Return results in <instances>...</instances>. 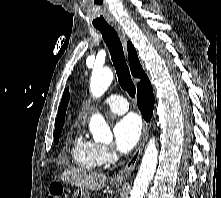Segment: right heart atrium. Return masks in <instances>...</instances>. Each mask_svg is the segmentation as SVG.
<instances>
[{
	"mask_svg": "<svg viewBox=\"0 0 221 198\" xmlns=\"http://www.w3.org/2000/svg\"><path fill=\"white\" fill-rule=\"evenodd\" d=\"M98 151L102 164H111L117 159L115 150L109 145H98Z\"/></svg>",
	"mask_w": 221,
	"mask_h": 198,
	"instance_id": "right-heart-atrium-1",
	"label": "right heart atrium"
}]
</instances>
